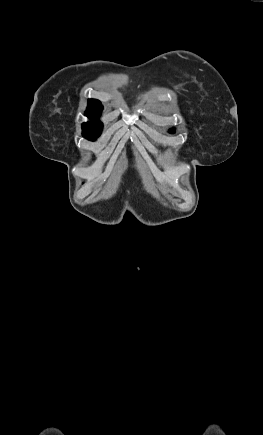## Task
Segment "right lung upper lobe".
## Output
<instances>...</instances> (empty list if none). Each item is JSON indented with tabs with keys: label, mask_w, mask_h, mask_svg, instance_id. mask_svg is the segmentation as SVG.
Returning a JSON list of instances; mask_svg holds the SVG:
<instances>
[{
	"label": "right lung upper lobe",
	"mask_w": 263,
	"mask_h": 435,
	"mask_svg": "<svg viewBox=\"0 0 263 435\" xmlns=\"http://www.w3.org/2000/svg\"><path fill=\"white\" fill-rule=\"evenodd\" d=\"M101 102L96 99H90L88 101V107L86 109L85 115L91 119L90 122L84 123L82 127H100L102 128V123L98 121V117L102 112Z\"/></svg>",
	"instance_id": "1"
}]
</instances>
